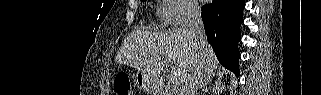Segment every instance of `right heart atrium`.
I'll list each match as a JSON object with an SVG mask.
<instances>
[{"mask_svg": "<svg viewBox=\"0 0 321 95\" xmlns=\"http://www.w3.org/2000/svg\"><path fill=\"white\" fill-rule=\"evenodd\" d=\"M199 10L192 0H163L158 14L164 23L170 25L188 24L198 16Z\"/></svg>", "mask_w": 321, "mask_h": 95, "instance_id": "right-heart-atrium-1", "label": "right heart atrium"}]
</instances>
